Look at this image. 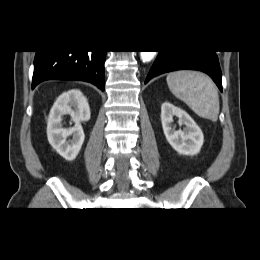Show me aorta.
Returning <instances> with one entry per match:
<instances>
[{"mask_svg": "<svg viewBox=\"0 0 260 260\" xmlns=\"http://www.w3.org/2000/svg\"><path fill=\"white\" fill-rule=\"evenodd\" d=\"M156 55V51H141L140 56L143 62L151 61Z\"/></svg>", "mask_w": 260, "mask_h": 260, "instance_id": "aorta-1", "label": "aorta"}]
</instances>
